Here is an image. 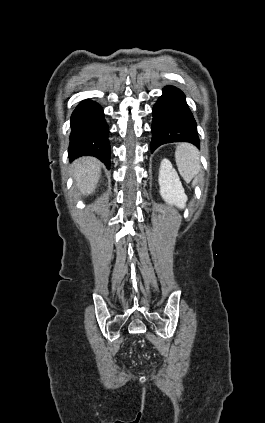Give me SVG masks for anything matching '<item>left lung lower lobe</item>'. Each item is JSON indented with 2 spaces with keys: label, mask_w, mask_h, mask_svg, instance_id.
<instances>
[{
  "label": "left lung lower lobe",
  "mask_w": 265,
  "mask_h": 423,
  "mask_svg": "<svg viewBox=\"0 0 265 423\" xmlns=\"http://www.w3.org/2000/svg\"><path fill=\"white\" fill-rule=\"evenodd\" d=\"M171 142H189L199 147L200 140L185 95L176 87L166 86L153 107L151 152Z\"/></svg>",
  "instance_id": "1"
}]
</instances>
